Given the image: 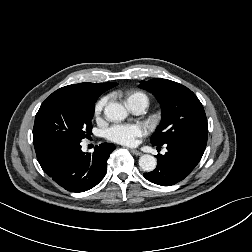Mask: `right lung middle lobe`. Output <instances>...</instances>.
<instances>
[{
  "mask_svg": "<svg viewBox=\"0 0 252 252\" xmlns=\"http://www.w3.org/2000/svg\"><path fill=\"white\" fill-rule=\"evenodd\" d=\"M95 100L50 95L35 117L33 143L81 142L92 130Z\"/></svg>",
  "mask_w": 252,
  "mask_h": 252,
  "instance_id": "right-lung-middle-lobe-1",
  "label": "right lung middle lobe"
}]
</instances>
